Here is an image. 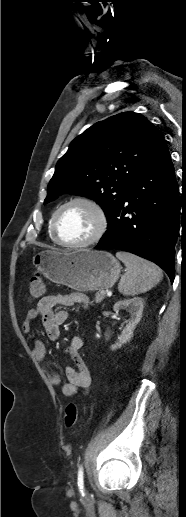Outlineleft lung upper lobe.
<instances>
[{"mask_svg":"<svg viewBox=\"0 0 186 517\" xmlns=\"http://www.w3.org/2000/svg\"><path fill=\"white\" fill-rule=\"evenodd\" d=\"M163 141L158 129L134 112L94 124L72 141L58 161L44 204L62 193L87 196L102 207L109 221L131 180Z\"/></svg>","mask_w":186,"mask_h":517,"instance_id":"obj_1","label":"left lung upper lobe"}]
</instances>
